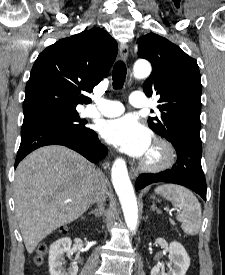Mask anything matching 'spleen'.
I'll return each instance as SVG.
<instances>
[{
  "instance_id": "1",
  "label": "spleen",
  "mask_w": 225,
  "mask_h": 275,
  "mask_svg": "<svg viewBox=\"0 0 225 275\" xmlns=\"http://www.w3.org/2000/svg\"><path fill=\"white\" fill-rule=\"evenodd\" d=\"M155 193L171 201L179 211L177 220L181 222V228L186 234H198L201 228V206L190 190L175 184H165L158 186Z\"/></svg>"
}]
</instances>
